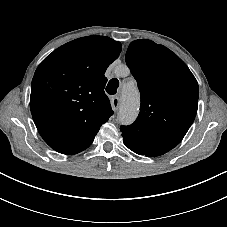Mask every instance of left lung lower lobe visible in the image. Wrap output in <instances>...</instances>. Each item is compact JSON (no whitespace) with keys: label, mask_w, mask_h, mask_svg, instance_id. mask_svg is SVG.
Wrapping results in <instances>:
<instances>
[{"label":"left lung lower lobe","mask_w":227,"mask_h":227,"mask_svg":"<svg viewBox=\"0 0 227 227\" xmlns=\"http://www.w3.org/2000/svg\"><path fill=\"white\" fill-rule=\"evenodd\" d=\"M140 155H144V154H140ZM146 156H150V157H153V155H148V154H145Z\"/></svg>","instance_id":"left-lung-lower-lobe-1"}]
</instances>
